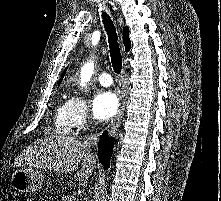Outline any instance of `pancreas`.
Returning <instances> with one entry per match:
<instances>
[{"mask_svg":"<svg viewBox=\"0 0 221 201\" xmlns=\"http://www.w3.org/2000/svg\"><path fill=\"white\" fill-rule=\"evenodd\" d=\"M68 197H70V196H63L62 201H69Z\"/></svg>","mask_w":221,"mask_h":201,"instance_id":"pancreas-1","label":"pancreas"}]
</instances>
